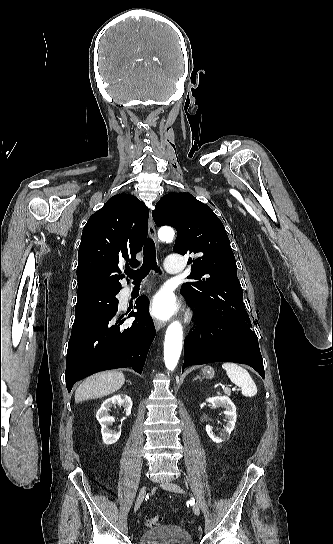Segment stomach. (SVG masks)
I'll list each match as a JSON object with an SVG mask.
<instances>
[{
    "mask_svg": "<svg viewBox=\"0 0 333 544\" xmlns=\"http://www.w3.org/2000/svg\"><path fill=\"white\" fill-rule=\"evenodd\" d=\"M214 374H215L214 369L210 366L204 367L202 369V375L206 378L211 379L214 377Z\"/></svg>",
    "mask_w": 333,
    "mask_h": 544,
    "instance_id": "0dacf381",
    "label": "stomach"
}]
</instances>
